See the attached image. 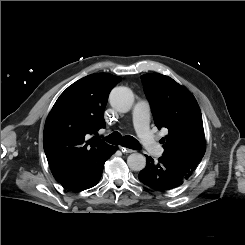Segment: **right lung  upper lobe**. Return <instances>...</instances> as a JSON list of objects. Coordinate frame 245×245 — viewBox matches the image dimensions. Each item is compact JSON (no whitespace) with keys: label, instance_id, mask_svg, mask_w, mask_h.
<instances>
[{"label":"right lung upper lobe","instance_id":"cb5924a9","mask_svg":"<svg viewBox=\"0 0 245 245\" xmlns=\"http://www.w3.org/2000/svg\"><path fill=\"white\" fill-rule=\"evenodd\" d=\"M120 80L108 73L88 75L69 86L55 102L45 123L43 146L58 182L113 147L89 137L105 128L108 95Z\"/></svg>","mask_w":245,"mask_h":245}]
</instances>
